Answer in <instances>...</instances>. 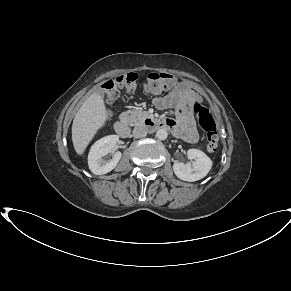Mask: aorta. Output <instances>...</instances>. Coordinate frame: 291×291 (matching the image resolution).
I'll use <instances>...</instances> for the list:
<instances>
[{
	"label": "aorta",
	"mask_w": 291,
	"mask_h": 291,
	"mask_svg": "<svg viewBox=\"0 0 291 291\" xmlns=\"http://www.w3.org/2000/svg\"><path fill=\"white\" fill-rule=\"evenodd\" d=\"M156 137L159 139V140H165L167 139L168 137V133L165 129H159L157 130L156 132Z\"/></svg>",
	"instance_id": "aorta-1"
}]
</instances>
